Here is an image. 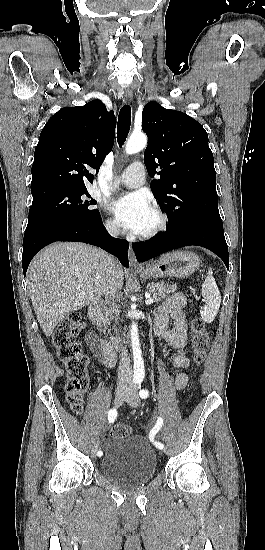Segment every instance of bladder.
Instances as JSON below:
<instances>
[{
  "label": "bladder",
  "mask_w": 265,
  "mask_h": 550,
  "mask_svg": "<svg viewBox=\"0 0 265 550\" xmlns=\"http://www.w3.org/2000/svg\"><path fill=\"white\" fill-rule=\"evenodd\" d=\"M100 469L109 479L126 487L141 485L155 475L157 457L143 436L112 438L101 454Z\"/></svg>",
  "instance_id": "bladder-1"
}]
</instances>
